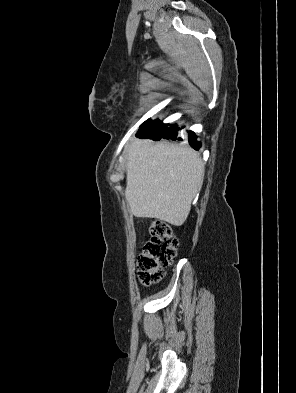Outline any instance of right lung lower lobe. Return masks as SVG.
<instances>
[{"mask_svg": "<svg viewBox=\"0 0 296 393\" xmlns=\"http://www.w3.org/2000/svg\"><path fill=\"white\" fill-rule=\"evenodd\" d=\"M169 126L163 124L159 119L154 121L148 119L140 126L136 136L139 138H150L152 140H159L161 138L172 139L174 141L182 140L177 133L179 128L176 125ZM189 143L196 150L201 146V143L196 140V135L192 132L189 133Z\"/></svg>", "mask_w": 296, "mask_h": 393, "instance_id": "98d812e1", "label": "right lung lower lobe"}]
</instances>
